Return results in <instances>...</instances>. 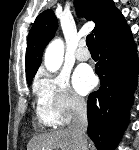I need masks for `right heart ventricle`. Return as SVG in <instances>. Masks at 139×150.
I'll return each instance as SVG.
<instances>
[{
  "label": "right heart ventricle",
  "mask_w": 139,
  "mask_h": 150,
  "mask_svg": "<svg viewBox=\"0 0 139 150\" xmlns=\"http://www.w3.org/2000/svg\"><path fill=\"white\" fill-rule=\"evenodd\" d=\"M36 117L39 125L49 126L51 125L50 120L44 109L38 104L36 108Z\"/></svg>",
  "instance_id": "right-heart-ventricle-1"
}]
</instances>
